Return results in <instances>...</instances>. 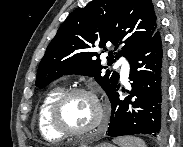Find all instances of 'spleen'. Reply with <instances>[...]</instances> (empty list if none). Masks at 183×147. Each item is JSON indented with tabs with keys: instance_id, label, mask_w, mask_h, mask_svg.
<instances>
[{
	"instance_id": "spleen-1",
	"label": "spleen",
	"mask_w": 183,
	"mask_h": 147,
	"mask_svg": "<svg viewBox=\"0 0 183 147\" xmlns=\"http://www.w3.org/2000/svg\"><path fill=\"white\" fill-rule=\"evenodd\" d=\"M119 147H146L145 142L138 137L127 136L113 139Z\"/></svg>"
}]
</instances>
